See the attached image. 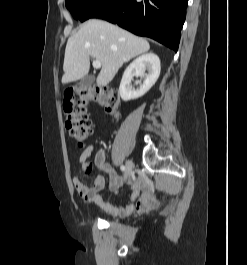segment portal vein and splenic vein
Here are the masks:
<instances>
[{"instance_id":"18ae733b","label":"portal vein and splenic vein","mask_w":247,"mask_h":265,"mask_svg":"<svg viewBox=\"0 0 247 265\" xmlns=\"http://www.w3.org/2000/svg\"><path fill=\"white\" fill-rule=\"evenodd\" d=\"M93 67L99 69L101 67V62L98 60L93 61Z\"/></svg>"}]
</instances>
